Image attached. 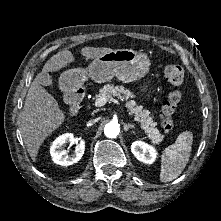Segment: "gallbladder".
Returning a JSON list of instances; mask_svg holds the SVG:
<instances>
[{
	"instance_id": "gallbladder-1",
	"label": "gallbladder",
	"mask_w": 221,
	"mask_h": 221,
	"mask_svg": "<svg viewBox=\"0 0 221 221\" xmlns=\"http://www.w3.org/2000/svg\"><path fill=\"white\" fill-rule=\"evenodd\" d=\"M39 82H40V84H42L44 86H51L52 85V79L48 73H41Z\"/></svg>"
}]
</instances>
